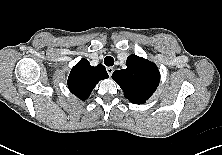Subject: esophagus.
<instances>
[{
    "mask_svg": "<svg viewBox=\"0 0 222 155\" xmlns=\"http://www.w3.org/2000/svg\"><path fill=\"white\" fill-rule=\"evenodd\" d=\"M107 73L109 76H111L113 74L114 69L112 67H107Z\"/></svg>",
    "mask_w": 222,
    "mask_h": 155,
    "instance_id": "34e87169",
    "label": "esophagus"
}]
</instances>
